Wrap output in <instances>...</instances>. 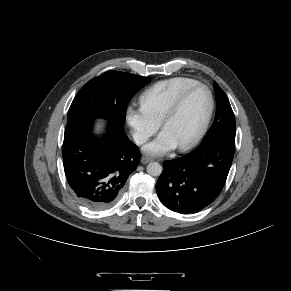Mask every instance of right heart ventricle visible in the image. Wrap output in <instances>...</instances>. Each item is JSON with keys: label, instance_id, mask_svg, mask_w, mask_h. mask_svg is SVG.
<instances>
[{"label": "right heart ventricle", "instance_id": "right-heart-ventricle-1", "mask_svg": "<svg viewBox=\"0 0 291 291\" xmlns=\"http://www.w3.org/2000/svg\"><path fill=\"white\" fill-rule=\"evenodd\" d=\"M198 83L188 77H173L158 81L140 96L141 106L159 123L177 96L186 88Z\"/></svg>", "mask_w": 291, "mask_h": 291}]
</instances>
